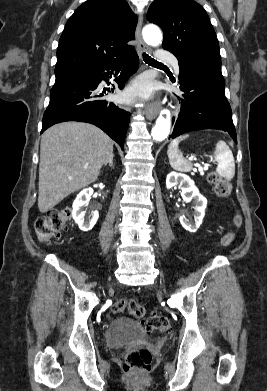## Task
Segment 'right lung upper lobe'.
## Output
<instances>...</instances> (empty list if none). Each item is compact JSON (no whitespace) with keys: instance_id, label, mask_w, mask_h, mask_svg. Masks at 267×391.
<instances>
[{"instance_id":"cb5924a9","label":"right lung upper lobe","mask_w":267,"mask_h":391,"mask_svg":"<svg viewBox=\"0 0 267 391\" xmlns=\"http://www.w3.org/2000/svg\"><path fill=\"white\" fill-rule=\"evenodd\" d=\"M137 16L125 0H88L67 21L57 49L56 77L116 62L134 51Z\"/></svg>"}]
</instances>
